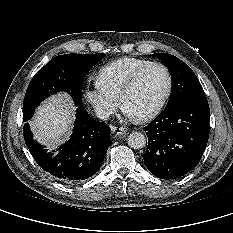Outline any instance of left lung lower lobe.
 Masks as SVG:
<instances>
[{
  "label": "left lung lower lobe",
  "instance_id": "1",
  "mask_svg": "<svg viewBox=\"0 0 233 233\" xmlns=\"http://www.w3.org/2000/svg\"><path fill=\"white\" fill-rule=\"evenodd\" d=\"M207 100H184L157 116L147 131L148 146L142 155L148 170L158 178L175 179L196 167L209 138Z\"/></svg>",
  "mask_w": 233,
  "mask_h": 233
}]
</instances>
